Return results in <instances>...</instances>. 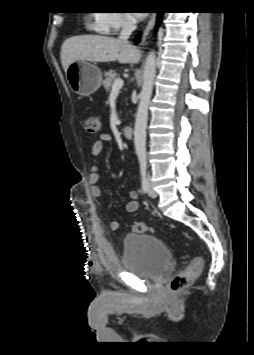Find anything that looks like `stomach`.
<instances>
[{
	"label": "stomach",
	"instance_id": "obj_1",
	"mask_svg": "<svg viewBox=\"0 0 254 355\" xmlns=\"http://www.w3.org/2000/svg\"><path fill=\"white\" fill-rule=\"evenodd\" d=\"M66 77L74 93L89 96L100 87L102 72L88 61H74L69 65Z\"/></svg>",
	"mask_w": 254,
	"mask_h": 355
}]
</instances>
